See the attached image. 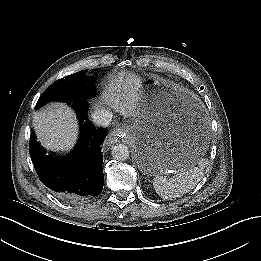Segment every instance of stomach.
<instances>
[{"instance_id": "0dacf381", "label": "stomach", "mask_w": 261, "mask_h": 261, "mask_svg": "<svg viewBox=\"0 0 261 261\" xmlns=\"http://www.w3.org/2000/svg\"><path fill=\"white\" fill-rule=\"evenodd\" d=\"M192 95L169 83L145 81L137 115L126 130L140 171L147 175L192 168L208 148L203 132L187 119Z\"/></svg>"}]
</instances>
